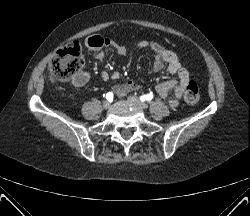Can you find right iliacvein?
<instances>
[{
	"label": "right iliac vein",
	"mask_w": 250,
	"mask_h": 216,
	"mask_svg": "<svg viewBox=\"0 0 250 216\" xmlns=\"http://www.w3.org/2000/svg\"><path fill=\"white\" fill-rule=\"evenodd\" d=\"M111 106V103L109 101L103 102V108L108 109Z\"/></svg>",
	"instance_id": "1"
}]
</instances>
